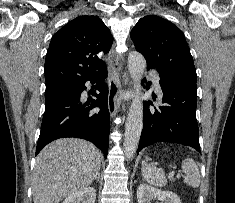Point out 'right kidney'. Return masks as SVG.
<instances>
[{
	"label": "right kidney",
	"instance_id": "right-kidney-1",
	"mask_svg": "<svg viewBox=\"0 0 235 203\" xmlns=\"http://www.w3.org/2000/svg\"><path fill=\"white\" fill-rule=\"evenodd\" d=\"M96 190L86 187L80 191L70 194L62 203H95Z\"/></svg>",
	"mask_w": 235,
	"mask_h": 203
}]
</instances>
